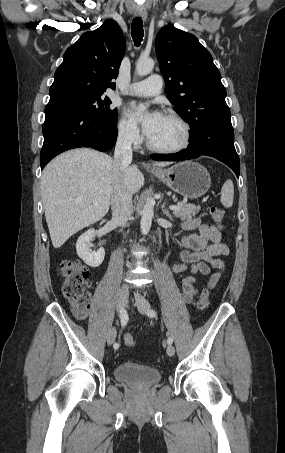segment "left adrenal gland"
<instances>
[{
    "label": "left adrenal gland",
    "mask_w": 285,
    "mask_h": 453,
    "mask_svg": "<svg viewBox=\"0 0 285 453\" xmlns=\"http://www.w3.org/2000/svg\"><path fill=\"white\" fill-rule=\"evenodd\" d=\"M162 212H163L164 215H166L169 218V220H173V218H172L171 214L169 213V211L165 209V203L162 205Z\"/></svg>",
    "instance_id": "a2214340"
}]
</instances>
